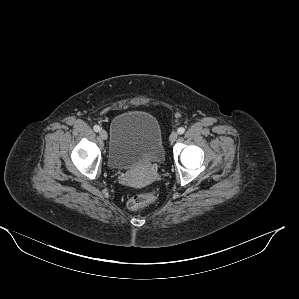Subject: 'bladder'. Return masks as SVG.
Wrapping results in <instances>:
<instances>
[{
    "label": "bladder",
    "instance_id": "bladder-1",
    "mask_svg": "<svg viewBox=\"0 0 299 299\" xmlns=\"http://www.w3.org/2000/svg\"><path fill=\"white\" fill-rule=\"evenodd\" d=\"M158 120L143 111L118 115L111 124L108 162L115 170H127L143 162L160 163L164 158Z\"/></svg>",
    "mask_w": 299,
    "mask_h": 299
}]
</instances>
